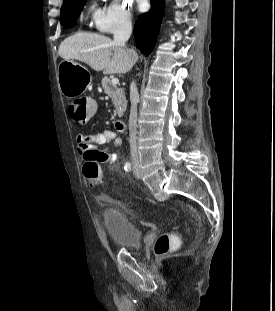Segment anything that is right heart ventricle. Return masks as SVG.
I'll list each match as a JSON object with an SVG mask.
<instances>
[{"label": "right heart ventricle", "mask_w": 275, "mask_h": 311, "mask_svg": "<svg viewBox=\"0 0 275 311\" xmlns=\"http://www.w3.org/2000/svg\"><path fill=\"white\" fill-rule=\"evenodd\" d=\"M100 13H101V9L98 7L97 3L92 2L89 5L88 10H87L88 17L95 20L99 16Z\"/></svg>", "instance_id": "right-heart-ventricle-1"}]
</instances>
